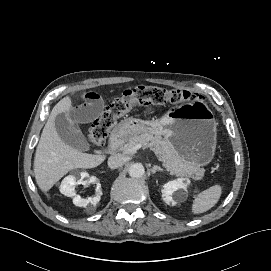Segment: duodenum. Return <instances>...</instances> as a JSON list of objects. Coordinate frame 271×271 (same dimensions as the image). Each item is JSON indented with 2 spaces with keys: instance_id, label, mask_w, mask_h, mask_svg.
<instances>
[{
  "instance_id": "1",
  "label": "duodenum",
  "mask_w": 271,
  "mask_h": 271,
  "mask_svg": "<svg viewBox=\"0 0 271 271\" xmlns=\"http://www.w3.org/2000/svg\"><path fill=\"white\" fill-rule=\"evenodd\" d=\"M123 139H124V129L116 128L109 138V146L113 150H116L123 142Z\"/></svg>"
}]
</instances>
